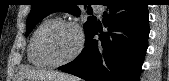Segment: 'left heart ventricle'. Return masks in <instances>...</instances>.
I'll use <instances>...</instances> for the list:
<instances>
[{
    "instance_id": "obj_1",
    "label": "left heart ventricle",
    "mask_w": 169,
    "mask_h": 81,
    "mask_svg": "<svg viewBox=\"0 0 169 81\" xmlns=\"http://www.w3.org/2000/svg\"><path fill=\"white\" fill-rule=\"evenodd\" d=\"M78 45V34L70 26L53 28L44 39V50L52 61H60L69 57Z\"/></svg>"
}]
</instances>
